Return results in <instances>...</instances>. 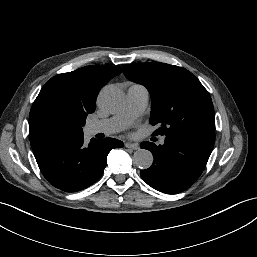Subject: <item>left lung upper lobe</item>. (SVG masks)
<instances>
[{
  "label": "left lung upper lobe",
  "instance_id": "5c2ea615",
  "mask_svg": "<svg viewBox=\"0 0 257 257\" xmlns=\"http://www.w3.org/2000/svg\"><path fill=\"white\" fill-rule=\"evenodd\" d=\"M124 75L150 92L153 135L177 136L186 131H214L213 103L200 81L182 67L160 62L126 64Z\"/></svg>",
  "mask_w": 257,
  "mask_h": 257
}]
</instances>
